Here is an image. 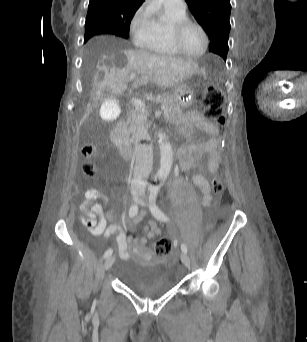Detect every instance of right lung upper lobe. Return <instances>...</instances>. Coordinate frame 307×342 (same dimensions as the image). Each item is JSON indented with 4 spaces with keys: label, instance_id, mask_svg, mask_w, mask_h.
<instances>
[{
    "label": "right lung upper lobe",
    "instance_id": "1",
    "mask_svg": "<svg viewBox=\"0 0 307 342\" xmlns=\"http://www.w3.org/2000/svg\"><path fill=\"white\" fill-rule=\"evenodd\" d=\"M144 0H90L87 18L111 30L129 31L131 19Z\"/></svg>",
    "mask_w": 307,
    "mask_h": 342
}]
</instances>
